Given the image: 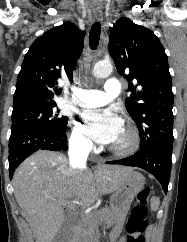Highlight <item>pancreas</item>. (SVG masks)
Returning <instances> with one entry per match:
<instances>
[{
	"mask_svg": "<svg viewBox=\"0 0 187 242\" xmlns=\"http://www.w3.org/2000/svg\"><path fill=\"white\" fill-rule=\"evenodd\" d=\"M100 224L111 226V210L109 208L82 215L74 229L75 242H94Z\"/></svg>",
	"mask_w": 187,
	"mask_h": 242,
	"instance_id": "cf45deb5",
	"label": "pancreas"
}]
</instances>
